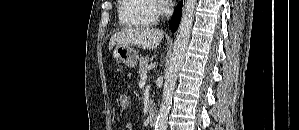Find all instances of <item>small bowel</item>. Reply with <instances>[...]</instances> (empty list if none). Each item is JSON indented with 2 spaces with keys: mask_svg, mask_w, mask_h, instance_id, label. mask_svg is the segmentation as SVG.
Here are the masks:
<instances>
[{
  "mask_svg": "<svg viewBox=\"0 0 299 130\" xmlns=\"http://www.w3.org/2000/svg\"><path fill=\"white\" fill-rule=\"evenodd\" d=\"M125 130H134V126L131 122H128L126 124Z\"/></svg>",
  "mask_w": 299,
  "mask_h": 130,
  "instance_id": "1",
  "label": "small bowel"
}]
</instances>
